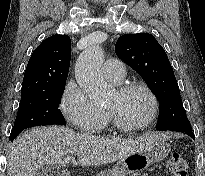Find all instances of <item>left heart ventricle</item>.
<instances>
[{
	"label": "left heart ventricle",
	"mask_w": 205,
	"mask_h": 176,
	"mask_svg": "<svg viewBox=\"0 0 205 176\" xmlns=\"http://www.w3.org/2000/svg\"><path fill=\"white\" fill-rule=\"evenodd\" d=\"M106 109L113 110L125 123L138 124L149 116L151 103L144 92L137 90L125 95L116 93Z\"/></svg>",
	"instance_id": "obj_1"
}]
</instances>
